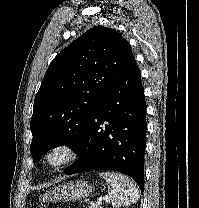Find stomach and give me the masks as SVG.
<instances>
[{
	"mask_svg": "<svg viewBox=\"0 0 199 208\" xmlns=\"http://www.w3.org/2000/svg\"><path fill=\"white\" fill-rule=\"evenodd\" d=\"M94 191L87 181H75L59 185L41 196L40 202L76 201L88 197Z\"/></svg>",
	"mask_w": 199,
	"mask_h": 208,
	"instance_id": "obj_1",
	"label": "stomach"
}]
</instances>
